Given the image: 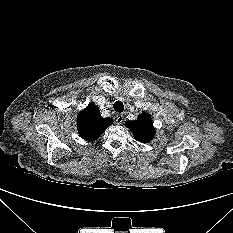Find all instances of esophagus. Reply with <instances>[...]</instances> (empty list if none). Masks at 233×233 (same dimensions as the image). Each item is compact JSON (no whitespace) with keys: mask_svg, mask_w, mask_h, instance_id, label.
I'll return each mask as SVG.
<instances>
[{"mask_svg":"<svg viewBox=\"0 0 233 233\" xmlns=\"http://www.w3.org/2000/svg\"><path fill=\"white\" fill-rule=\"evenodd\" d=\"M124 121V116L122 114H118L116 116V124L120 125Z\"/></svg>","mask_w":233,"mask_h":233,"instance_id":"34e87169","label":"esophagus"}]
</instances>
